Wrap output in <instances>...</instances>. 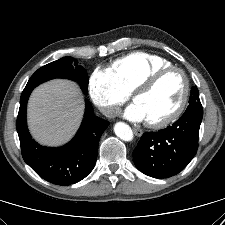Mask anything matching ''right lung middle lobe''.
I'll return each instance as SVG.
<instances>
[{
	"mask_svg": "<svg viewBox=\"0 0 225 225\" xmlns=\"http://www.w3.org/2000/svg\"><path fill=\"white\" fill-rule=\"evenodd\" d=\"M54 78L77 80L82 90L88 91V77L86 70L77 65L72 57H63L39 68L29 79L25 89H33L37 85Z\"/></svg>",
	"mask_w": 225,
	"mask_h": 225,
	"instance_id": "1",
	"label": "right lung middle lobe"
}]
</instances>
